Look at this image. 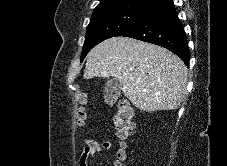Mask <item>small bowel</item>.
Segmentation results:
<instances>
[{
    "label": "small bowel",
    "mask_w": 227,
    "mask_h": 166,
    "mask_svg": "<svg viewBox=\"0 0 227 166\" xmlns=\"http://www.w3.org/2000/svg\"><path fill=\"white\" fill-rule=\"evenodd\" d=\"M111 148L110 141H96L93 139H86L83 144L82 153L79 159V166H88L96 155L107 151Z\"/></svg>",
    "instance_id": "c3829d8e"
}]
</instances>
